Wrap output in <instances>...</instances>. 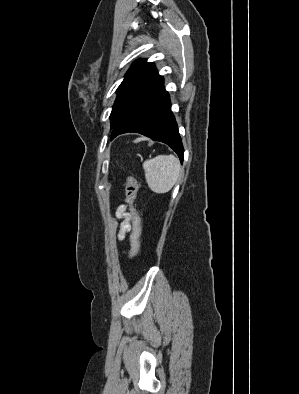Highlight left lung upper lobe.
Listing matches in <instances>:
<instances>
[{
	"label": "left lung upper lobe",
	"instance_id": "1",
	"mask_svg": "<svg viewBox=\"0 0 299 394\" xmlns=\"http://www.w3.org/2000/svg\"><path fill=\"white\" fill-rule=\"evenodd\" d=\"M159 77L154 64L138 60L132 64L117 89V98L110 114L111 129L122 119L135 100Z\"/></svg>",
	"mask_w": 299,
	"mask_h": 394
}]
</instances>
